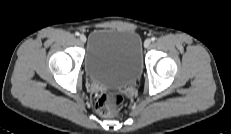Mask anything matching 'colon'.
Segmentation results:
<instances>
[{"instance_id":"1","label":"colon","mask_w":231,"mask_h":134,"mask_svg":"<svg viewBox=\"0 0 231 134\" xmlns=\"http://www.w3.org/2000/svg\"><path fill=\"white\" fill-rule=\"evenodd\" d=\"M124 105V98L115 92H104L96 101L97 111L105 117H113L119 113Z\"/></svg>"}]
</instances>
